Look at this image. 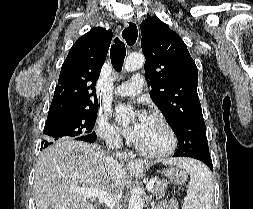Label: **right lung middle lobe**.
I'll return each mask as SVG.
<instances>
[{"label": "right lung middle lobe", "mask_w": 253, "mask_h": 209, "mask_svg": "<svg viewBox=\"0 0 253 209\" xmlns=\"http://www.w3.org/2000/svg\"><path fill=\"white\" fill-rule=\"evenodd\" d=\"M98 106L65 110L47 117L44 127L45 138L42 141L41 149L46 148L57 140L90 137L95 125Z\"/></svg>", "instance_id": "1"}]
</instances>
